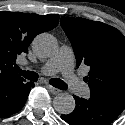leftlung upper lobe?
I'll return each mask as SVG.
<instances>
[{"instance_id": "5c2ea615", "label": "left lung upper lobe", "mask_w": 125, "mask_h": 125, "mask_svg": "<svg viewBox=\"0 0 125 125\" xmlns=\"http://www.w3.org/2000/svg\"><path fill=\"white\" fill-rule=\"evenodd\" d=\"M60 24L74 50L77 67H90L84 78L91 95L125 98V37L99 21L62 17Z\"/></svg>"}]
</instances>
